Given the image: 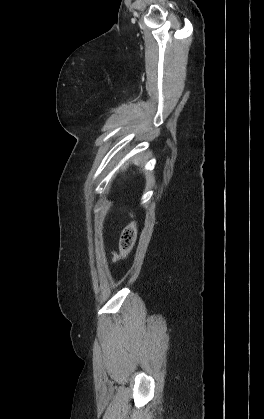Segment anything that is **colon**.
I'll use <instances>...</instances> for the list:
<instances>
[{
  "label": "colon",
  "mask_w": 264,
  "mask_h": 419,
  "mask_svg": "<svg viewBox=\"0 0 264 419\" xmlns=\"http://www.w3.org/2000/svg\"><path fill=\"white\" fill-rule=\"evenodd\" d=\"M137 237V228L134 221L130 222L121 232L119 248L123 257L132 250Z\"/></svg>",
  "instance_id": "1"
}]
</instances>
